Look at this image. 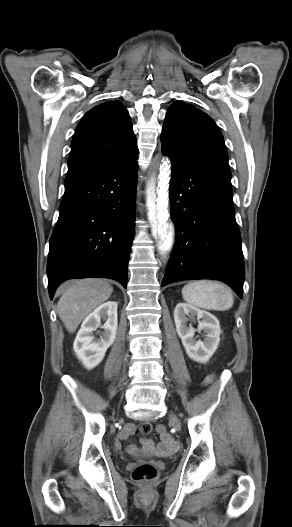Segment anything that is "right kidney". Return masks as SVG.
<instances>
[{
	"label": "right kidney",
	"mask_w": 292,
	"mask_h": 527,
	"mask_svg": "<svg viewBox=\"0 0 292 527\" xmlns=\"http://www.w3.org/2000/svg\"><path fill=\"white\" fill-rule=\"evenodd\" d=\"M117 302L108 301L97 307L83 321L76 336L73 349L87 369L96 367L103 360L107 349L113 344L117 330ZM101 319L105 321L100 339L93 335L101 325Z\"/></svg>",
	"instance_id": "1"
}]
</instances>
